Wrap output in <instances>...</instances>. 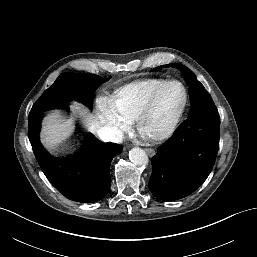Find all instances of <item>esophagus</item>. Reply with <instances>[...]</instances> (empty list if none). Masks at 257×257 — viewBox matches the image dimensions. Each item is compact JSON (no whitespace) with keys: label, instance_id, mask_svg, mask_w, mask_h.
Listing matches in <instances>:
<instances>
[{"label":"esophagus","instance_id":"34e87169","mask_svg":"<svg viewBox=\"0 0 257 257\" xmlns=\"http://www.w3.org/2000/svg\"><path fill=\"white\" fill-rule=\"evenodd\" d=\"M144 150L148 154V156H150V157L155 155V151L151 148H145Z\"/></svg>","mask_w":257,"mask_h":257}]
</instances>
